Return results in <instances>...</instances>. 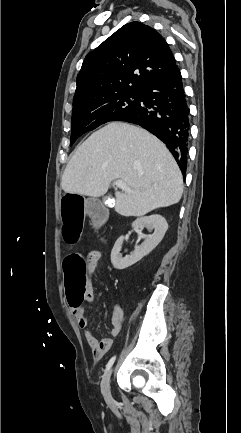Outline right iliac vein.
Listing matches in <instances>:
<instances>
[{
	"instance_id": "1",
	"label": "right iliac vein",
	"mask_w": 241,
	"mask_h": 433,
	"mask_svg": "<svg viewBox=\"0 0 241 433\" xmlns=\"http://www.w3.org/2000/svg\"><path fill=\"white\" fill-rule=\"evenodd\" d=\"M111 374H112V369L108 370V372L105 374V376L102 380V383H101L102 394H103L105 400L108 402L113 401V397H112L111 390H110Z\"/></svg>"
}]
</instances>
